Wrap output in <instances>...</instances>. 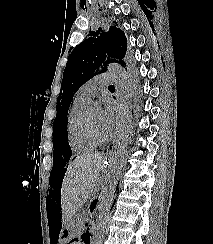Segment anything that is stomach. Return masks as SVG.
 Masks as SVG:
<instances>
[{"label": "stomach", "instance_id": "1", "mask_svg": "<svg viewBox=\"0 0 213 244\" xmlns=\"http://www.w3.org/2000/svg\"><path fill=\"white\" fill-rule=\"evenodd\" d=\"M63 232H62V238L58 239V244H69V239H75V234L77 233L78 227L76 225V221L74 219H71L69 221H66V223H63Z\"/></svg>", "mask_w": 213, "mask_h": 244}]
</instances>
